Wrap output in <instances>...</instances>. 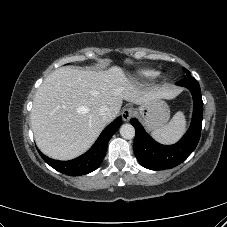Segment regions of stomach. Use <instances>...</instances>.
<instances>
[{"label":"stomach","mask_w":227,"mask_h":227,"mask_svg":"<svg viewBox=\"0 0 227 227\" xmlns=\"http://www.w3.org/2000/svg\"><path fill=\"white\" fill-rule=\"evenodd\" d=\"M148 130L162 127L169 119V107L160 99H153L138 109Z\"/></svg>","instance_id":"obj_1"}]
</instances>
